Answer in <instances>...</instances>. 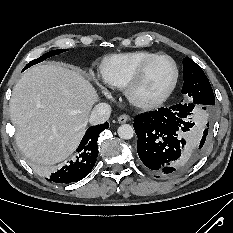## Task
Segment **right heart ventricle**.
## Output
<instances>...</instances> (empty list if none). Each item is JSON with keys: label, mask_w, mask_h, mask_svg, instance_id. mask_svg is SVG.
I'll return each mask as SVG.
<instances>
[{"label": "right heart ventricle", "mask_w": 233, "mask_h": 233, "mask_svg": "<svg viewBox=\"0 0 233 233\" xmlns=\"http://www.w3.org/2000/svg\"><path fill=\"white\" fill-rule=\"evenodd\" d=\"M156 54L139 50L106 57L100 67L103 82L110 88H125L137 68Z\"/></svg>", "instance_id": "e07e8e85"}]
</instances>
